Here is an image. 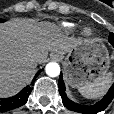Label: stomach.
<instances>
[{"instance_id": "1", "label": "stomach", "mask_w": 114, "mask_h": 114, "mask_svg": "<svg viewBox=\"0 0 114 114\" xmlns=\"http://www.w3.org/2000/svg\"><path fill=\"white\" fill-rule=\"evenodd\" d=\"M64 65L66 82L79 88L87 82L108 74L110 56L106 46L99 40H80L69 50L53 52Z\"/></svg>"}]
</instances>
